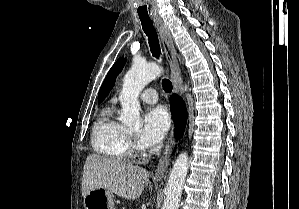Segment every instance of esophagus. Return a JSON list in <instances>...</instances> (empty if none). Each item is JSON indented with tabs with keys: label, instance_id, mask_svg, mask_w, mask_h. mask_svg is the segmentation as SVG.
I'll return each instance as SVG.
<instances>
[{
	"label": "esophagus",
	"instance_id": "1",
	"mask_svg": "<svg viewBox=\"0 0 299 209\" xmlns=\"http://www.w3.org/2000/svg\"><path fill=\"white\" fill-rule=\"evenodd\" d=\"M153 20H154V23L158 29L159 34H160L165 57L170 65L171 80L173 83L174 93L181 96L182 95L181 76H180L181 72H180L179 63H178V60H177V57L175 54V50L173 47V41H172L170 31L159 17H154ZM173 132H174V128H172V130L169 134L167 144L162 151L158 166L155 170V178L157 180H161L164 177V174L170 164L171 150L175 144Z\"/></svg>",
	"mask_w": 299,
	"mask_h": 209
}]
</instances>
